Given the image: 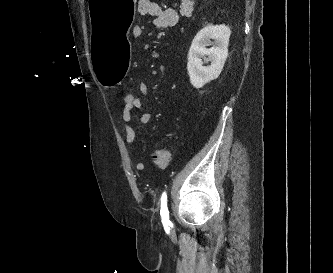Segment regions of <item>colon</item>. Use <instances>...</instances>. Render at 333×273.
I'll return each mask as SVG.
<instances>
[{
  "label": "colon",
  "instance_id": "1",
  "mask_svg": "<svg viewBox=\"0 0 333 273\" xmlns=\"http://www.w3.org/2000/svg\"><path fill=\"white\" fill-rule=\"evenodd\" d=\"M138 97L133 93H126L123 96V106L127 108H137ZM171 159L170 151L167 148H160L154 152L153 160L157 167L165 168Z\"/></svg>",
  "mask_w": 333,
  "mask_h": 273
}]
</instances>
